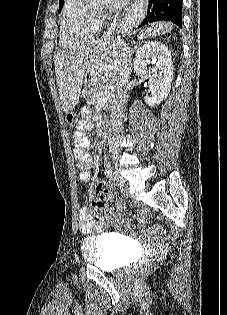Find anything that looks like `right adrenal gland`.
<instances>
[{
  "mask_svg": "<svg viewBox=\"0 0 227 315\" xmlns=\"http://www.w3.org/2000/svg\"><path fill=\"white\" fill-rule=\"evenodd\" d=\"M139 45H140V43H139V44L134 43V44L132 45V48H131V49L129 50V52H128L130 58H131V56L133 55L134 51L138 48Z\"/></svg>",
  "mask_w": 227,
  "mask_h": 315,
  "instance_id": "2a0ac1e0",
  "label": "right adrenal gland"
}]
</instances>
